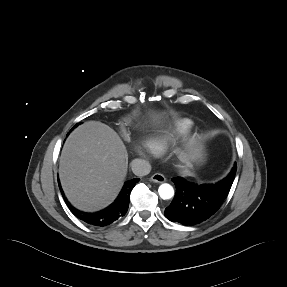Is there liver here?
I'll return each instance as SVG.
<instances>
[{
    "label": "liver",
    "instance_id": "liver-1",
    "mask_svg": "<svg viewBox=\"0 0 287 287\" xmlns=\"http://www.w3.org/2000/svg\"><path fill=\"white\" fill-rule=\"evenodd\" d=\"M153 122L161 114L152 112ZM203 156L202 147L191 140L179 154L188 165ZM128 166L126 147L119 135L98 121L78 126L67 138L59 160V177L68 200L78 209L92 212L108 206L120 192ZM190 175L189 170L182 171Z\"/></svg>",
    "mask_w": 287,
    "mask_h": 287
}]
</instances>
